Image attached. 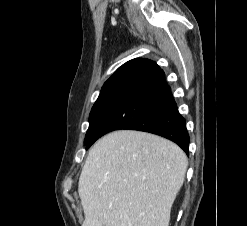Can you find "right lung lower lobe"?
I'll use <instances>...</instances> for the list:
<instances>
[{
	"label": "right lung lower lobe",
	"instance_id": "obj_1",
	"mask_svg": "<svg viewBox=\"0 0 247 226\" xmlns=\"http://www.w3.org/2000/svg\"><path fill=\"white\" fill-rule=\"evenodd\" d=\"M118 129L150 132L178 144L187 154L190 138L164 72L153 61L133 59L122 66L101 116L86 143Z\"/></svg>",
	"mask_w": 247,
	"mask_h": 226
}]
</instances>
